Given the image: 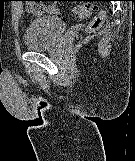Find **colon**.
I'll list each match as a JSON object with an SVG mask.
<instances>
[{
    "label": "colon",
    "instance_id": "1",
    "mask_svg": "<svg viewBox=\"0 0 135 161\" xmlns=\"http://www.w3.org/2000/svg\"><path fill=\"white\" fill-rule=\"evenodd\" d=\"M93 11H94V7L90 3L79 4L73 8V13L82 18L90 17ZM106 15L107 13L104 10L96 14L87 25L86 27L87 32L93 33L99 30L106 19Z\"/></svg>",
    "mask_w": 135,
    "mask_h": 161
}]
</instances>
